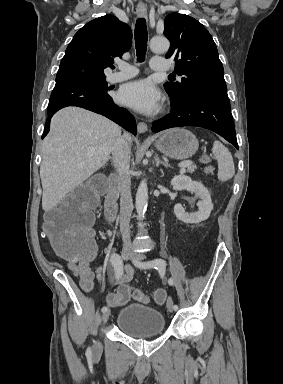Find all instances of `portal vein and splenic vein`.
Returning <instances> with one entry per match:
<instances>
[{
	"label": "portal vein and splenic vein",
	"instance_id": "portal-vein-and-splenic-vein-1",
	"mask_svg": "<svg viewBox=\"0 0 283 384\" xmlns=\"http://www.w3.org/2000/svg\"><path fill=\"white\" fill-rule=\"evenodd\" d=\"M193 162L191 160H186V162H180L179 168H188V166H192Z\"/></svg>",
	"mask_w": 283,
	"mask_h": 384
}]
</instances>
